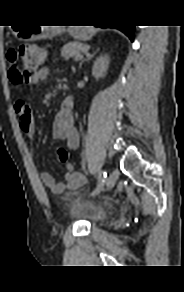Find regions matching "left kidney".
<instances>
[{"instance_id":"1","label":"left kidney","mask_w":184,"mask_h":292,"mask_svg":"<svg viewBox=\"0 0 184 292\" xmlns=\"http://www.w3.org/2000/svg\"><path fill=\"white\" fill-rule=\"evenodd\" d=\"M109 66V57L108 55L98 57L92 68V75L98 80L105 76Z\"/></svg>"}]
</instances>
